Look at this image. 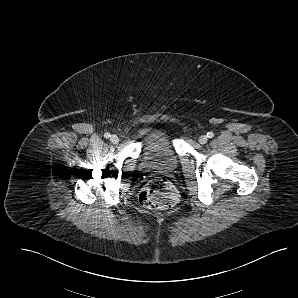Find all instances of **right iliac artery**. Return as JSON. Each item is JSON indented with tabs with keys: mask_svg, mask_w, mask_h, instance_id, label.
Wrapping results in <instances>:
<instances>
[{
	"mask_svg": "<svg viewBox=\"0 0 298 298\" xmlns=\"http://www.w3.org/2000/svg\"><path fill=\"white\" fill-rule=\"evenodd\" d=\"M104 137L108 139L109 137H111V135H110V133L107 132L104 134Z\"/></svg>",
	"mask_w": 298,
	"mask_h": 298,
	"instance_id": "obj_1",
	"label": "right iliac artery"
}]
</instances>
